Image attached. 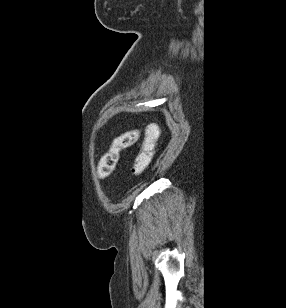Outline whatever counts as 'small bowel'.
Wrapping results in <instances>:
<instances>
[{"label": "small bowel", "instance_id": "c3829d8e", "mask_svg": "<svg viewBox=\"0 0 286 308\" xmlns=\"http://www.w3.org/2000/svg\"><path fill=\"white\" fill-rule=\"evenodd\" d=\"M160 137V132L157 126L150 125L146 128L144 140L154 139L156 142Z\"/></svg>", "mask_w": 286, "mask_h": 308}]
</instances>
